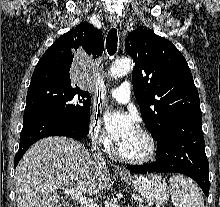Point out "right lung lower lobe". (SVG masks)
<instances>
[{
  "instance_id": "obj_1",
  "label": "right lung lower lobe",
  "mask_w": 220,
  "mask_h": 207,
  "mask_svg": "<svg viewBox=\"0 0 220 207\" xmlns=\"http://www.w3.org/2000/svg\"><path fill=\"white\" fill-rule=\"evenodd\" d=\"M89 121H81L55 113L32 110L24 113L19 150L14 159L18 164L26 150L36 141L48 136H66L76 140L88 133Z\"/></svg>"
}]
</instances>
